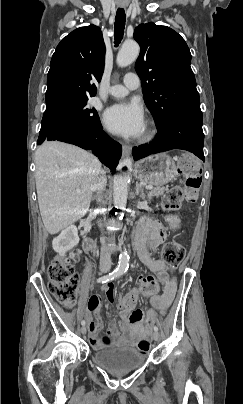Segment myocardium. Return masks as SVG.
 Here are the masks:
<instances>
[{
  "label": "myocardium",
  "mask_w": 243,
  "mask_h": 404,
  "mask_svg": "<svg viewBox=\"0 0 243 404\" xmlns=\"http://www.w3.org/2000/svg\"><path fill=\"white\" fill-rule=\"evenodd\" d=\"M157 133H158L157 126L155 125L154 122H150L146 129L145 134L140 139V142L141 143L151 142L157 136Z\"/></svg>",
  "instance_id": "1"
}]
</instances>
